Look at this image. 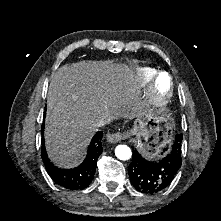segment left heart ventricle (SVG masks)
<instances>
[{"instance_id":"obj_1","label":"left heart ventricle","mask_w":221,"mask_h":221,"mask_svg":"<svg viewBox=\"0 0 221 221\" xmlns=\"http://www.w3.org/2000/svg\"><path fill=\"white\" fill-rule=\"evenodd\" d=\"M156 84L162 93H166L168 91L169 80L166 75H160L157 79Z\"/></svg>"}]
</instances>
